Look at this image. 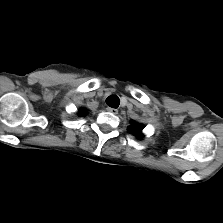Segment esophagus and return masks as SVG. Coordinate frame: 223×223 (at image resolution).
Instances as JSON below:
<instances>
[{
	"label": "esophagus",
	"mask_w": 223,
	"mask_h": 223,
	"mask_svg": "<svg viewBox=\"0 0 223 223\" xmlns=\"http://www.w3.org/2000/svg\"><path fill=\"white\" fill-rule=\"evenodd\" d=\"M107 111L115 115L118 114V110L115 108L107 107Z\"/></svg>",
	"instance_id": "1"
}]
</instances>
